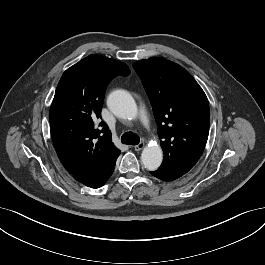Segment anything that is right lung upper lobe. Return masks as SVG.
<instances>
[{"label":"right lung upper lobe","mask_w":265,"mask_h":265,"mask_svg":"<svg viewBox=\"0 0 265 265\" xmlns=\"http://www.w3.org/2000/svg\"><path fill=\"white\" fill-rule=\"evenodd\" d=\"M128 66L100 55H89L67 69L56 88L50 109V131L56 152L73 175L88 174L107 158L120 153L102 121L101 109L108 83L129 75Z\"/></svg>","instance_id":"1"}]
</instances>
